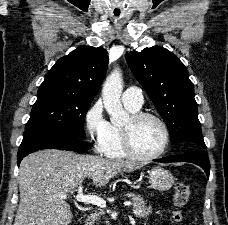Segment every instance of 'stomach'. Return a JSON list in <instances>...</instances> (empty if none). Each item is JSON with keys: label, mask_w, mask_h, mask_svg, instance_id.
Here are the masks:
<instances>
[{"label": "stomach", "mask_w": 228, "mask_h": 225, "mask_svg": "<svg viewBox=\"0 0 228 225\" xmlns=\"http://www.w3.org/2000/svg\"><path fill=\"white\" fill-rule=\"evenodd\" d=\"M148 179L150 187L156 189V191H169L175 183L174 177H172L171 173L165 171V169H161V167L151 169V171H149Z\"/></svg>", "instance_id": "0dacf381"}]
</instances>
